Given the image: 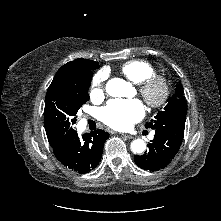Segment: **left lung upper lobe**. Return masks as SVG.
<instances>
[{
    "instance_id": "1",
    "label": "left lung upper lobe",
    "mask_w": 221,
    "mask_h": 221,
    "mask_svg": "<svg viewBox=\"0 0 221 221\" xmlns=\"http://www.w3.org/2000/svg\"><path fill=\"white\" fill-rule=\"evenodd\" d=\"M183 93V87L179 82L174 95L168 98L164 109L159 111L145 127L152 128L155 131L168 132L183 139L187 115V106Z\"/></svg>"
}]
</instances>
